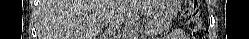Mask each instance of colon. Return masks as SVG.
Returning a JSON list of instances; mask_svg holds the SVG:
<instances>
[{
    "label": "colon",
    "mask_w": 249,
    "mask_h": 39,
    "mask_svg": "<svg viewBox=\"0 0 249 39\" xmlns=\"http://www.w3.org/2000/svg\"><path fill=\"white\" fill-rule=\"evenodd\" d=\"M198 1L197 0H186L182 8V13L185 22L192 34L193 39H203L207 36V30L201 25L198 19Z\"/></svg>",
    "instance_id": "5ec220e1"
}]
</instances>
